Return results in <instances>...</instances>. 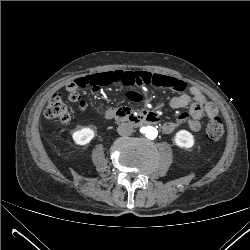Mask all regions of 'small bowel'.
Instances as JSON below:
<instances>
[{"instance_id":"obj_1","label":"small bowel","mask_w":250,"mask_h":250,"mask_svg":"<svg viewBox=\"0 0 250 250\" xmlns=\"http://www.w3.org/2000/svg\"><path fill=\"white\" fill-rule=\"evenodd\" d=\"M156 75L166 79L158 87H168L177 91H183L187 87V84L179 78L164 74ZM172 105L177 108H187V110L182 112L175 121H167L163 124V131L166 133L173 131L182 123H187L193 131H199L201 118L206 116L211 119L218 114L217 106L208 100L206 94L197 85H190L187 93L174 97Z\"/></svg>"}]
</instances>
